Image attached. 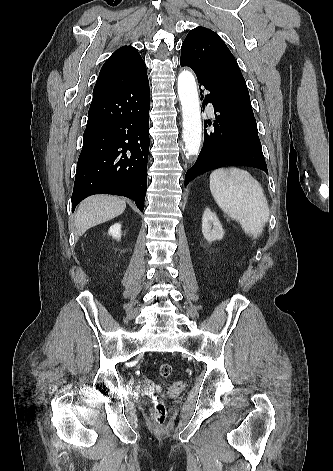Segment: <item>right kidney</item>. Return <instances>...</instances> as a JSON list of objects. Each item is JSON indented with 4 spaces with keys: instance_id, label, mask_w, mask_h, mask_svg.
<instances>
[{
    "instance_id": "obj_1",
    "label": "right kidney",
    "mask_w": 333,
    "mask_h": 471,
    "mask_svg": "<svg viewBox=\"0 0 333 471\" xmlns=\"http://www.w3.org/2000/svg\"><path fill=\"white\" fill-rule=\"evenodd\" d=\"M109 234L112 235L114 238L119 239L121 237V224L116 223L112 225L109 229Z\"/></svg>"
}]
</instances>
